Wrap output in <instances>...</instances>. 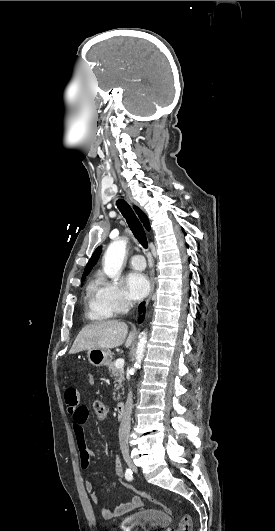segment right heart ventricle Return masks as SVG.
<instances>
[{"mask_svg":"<svg viewBox=\"0 0 275 531\" xmlns=\"http://www.w3.org/2000/svg\"><path fill=\"white\" fill-rule=\"evenodd\" d=\"M95 285L96 283L91 280L86 288L87 312L93 319L103 320L107 316L94 306Z\"/></svg>","mask_w":275,"mask_h":531,"instance_id":"e07e8e85","label":"right heart ventricle"}]
</instances>
